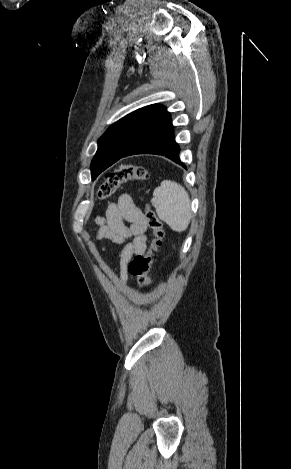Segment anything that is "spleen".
Returning a JSON list of instances; mask_svg holds the SVG:
<instances>
[{"mask_svg": "<svg viewBox=\"0 0 291 469\" xmlns=\"http://www.w3.org/2000/svg\"><path fill=\"white\" fill-rule=\"evenodd\" d=\"M158 217L176 232L188 228L191 220V202L187 191L178 183L164 180L153 192L151 200Z\"/></svg>", "mask_w": 291, "mask_h": 469, "instance_id": "3e777b00", "label": "spleen"}]
</instances>
